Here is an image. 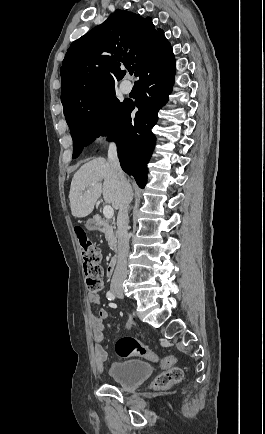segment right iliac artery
Listing matches in <instances>:
<instances>
[{
  "label": "right iliac artery",
  "mask_w": 265,
  "mask_h": 434,
  "mask_svg": "<svg viewBox=\"0 0 265 434\" xmlns=\"http://www.w3.org/2000/svg\"><path fill=\"white\" fill-rule=\"evenodd\" d=\"M106 297H107L108 300L111 301V300L115 299V294L112 291H108L107 294H106Z\"/></svg>",
  "instance_id": "obj_1"
}]
</instances>
